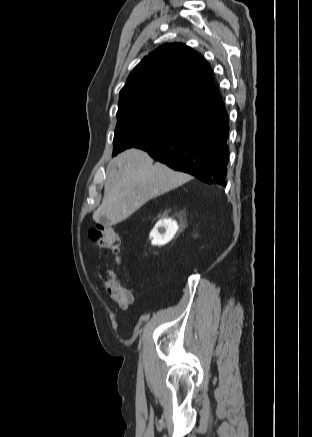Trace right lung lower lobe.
I'll return each instance as SVG.
<instances>
[{"label":"right lung lower lobe","mask_w":312,"mask_h":437,"mask_svg":"<svg viewBox=\"0 0 312 437\" xmlns=\"http://www.w3.org/2000/svg\"><path fill=\"white\" fill-rule=\"evenodd\" d=\"M228 116L223 100L201 109L180 130L141 147L174 170L208 184L226 186L229 147Z\"/></svg>","instance_id":"right-lung-lower-lobe-1"}]
</instances>
